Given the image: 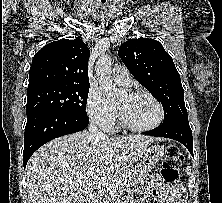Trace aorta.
<instances>
[{
    "label": "aorta",
    "instance_id": "aorta-1",
    "mask_svg": "<svg viewBox=\"0 0 222 203\" xmlns=\"http://www.w3.org/2000/svg\"><path fill=\"white\" fill-rule=\"evenodd\" d=\"M111 58L107 55H101L95 65V75L99 86L104 90L108 98H114L120 93L116 88L111 77Z\"/></svg>",
    "mask_w": 222,
    "mask_h": 203
}]
</instances>
